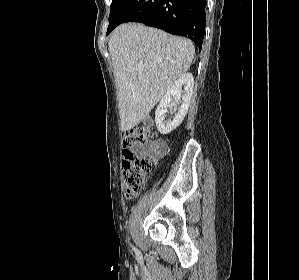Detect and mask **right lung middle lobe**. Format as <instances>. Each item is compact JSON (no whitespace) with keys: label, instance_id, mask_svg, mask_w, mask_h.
Returning a JSON list of instances; mask_svg holds the SVG:
<instances>
[{"label":"right lung middle lobe","instance_id":"obj_1","mask_svg":"<svg viewBox=\"0 0 299 280\" xmlns=\"http://www.w3.org/2000/svg\"><path fill=\"white\" fill-rule=\"evenodd\" d=\"M127 0H112L110 6V15H109V26L108 30L112 27L115 17L117 16L118 12L124 5ZM107 30V31H108Z\"/></svg>","mask_w":299,"mask_h":280}]
</instances>
